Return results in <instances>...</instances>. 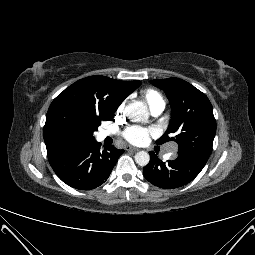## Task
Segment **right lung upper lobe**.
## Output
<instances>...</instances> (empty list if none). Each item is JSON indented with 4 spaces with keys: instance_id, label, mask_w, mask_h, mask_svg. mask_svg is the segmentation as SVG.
<instances>
[{
    "instance_id": "obj_1",
    "label": "right lung upper lobe",
    "mask_w": 255,
    "mask_h": 255,
    "mask_svg": "<svg viewBox=\"0 0 255 255\" xmlns=\"http://www.w3.org/2000/svg\"><path fill=\"white\" fill-rule=\"evenodd\" d=\"M139 85L140 81L90 76L66 88L53 100L46 115L43 135L47 153L87 141L88 121L94 116L114 115Z\"/></svg>"
}]
</instances>
